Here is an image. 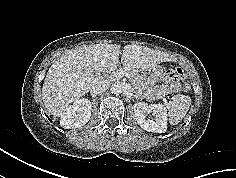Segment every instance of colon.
Listing matches in <instances>:
<instances>
[{
	"instance_id": "colon-1",
	"label": "colon",
	"mask_w": 236,
	"mask_h": 178,
	"mask_svg": "<svg viewBox=\"0 0 236 178\" xmlns=\"http://www.w3.org/2000/svg\"><path fill=\"white\" fill-rule=\"evenodd\" d=\"M167 75L173 76V75H178L181 74L182 71L178 67H171L166 71ZM184 90L189 91V80L188 77L184 78Z\"/></svg>"
}]
</instances>
